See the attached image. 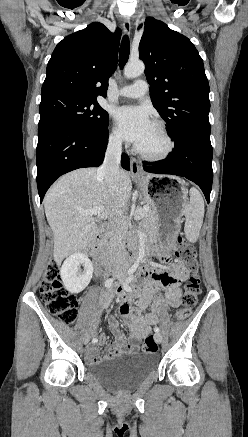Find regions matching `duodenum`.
Returning a JSON list of instances; mask_svg holds the SVG:
<instances>
[{
  "label": "duodenum",
  "mask_w": 248,
  "mask_h": 437,
  "mask_svg": "<svg viewBox=\"0 0 248 437\" xmlns=\"http://www.w3.org/2000/svg\"><path fill=\"white\" fill-rule=\"evenodd\" d=\"M109 231V226H105L103 230L96 236L92 246L91 255L98 265L99 272H106L113 268L114 261L104 252L103 244L106 235ZM152 254H157V250L153 247L151 248ZM125 260H131L135 255V248L131 244H127L124 250Z\"/></svg>",
  "instance_id": "1"
}]
</instances>
